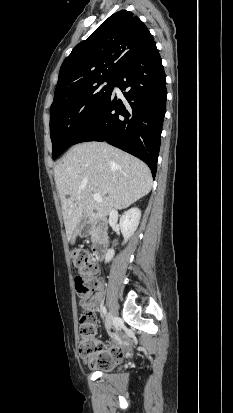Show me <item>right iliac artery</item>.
I'll return each mask as SVG.
<instances>
[{
    "instance_id": "1",
    "label": "right iliac artery",
    "mask_w": 233,
    "mask_h": 413,
    "mask_svg": "<svg viewBox=\"0 0 233 413\" xmlns=\"http://www.w3.org/2000/svg\"><path fill=\"white\" fill-rule=\"evenodd\" d=\"M101 312L104 316H106L107 311H106V308L104 306L101 307Z\"/></svg>"
}]
</instances>
